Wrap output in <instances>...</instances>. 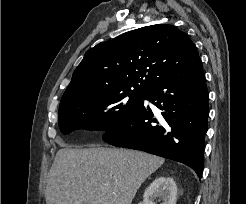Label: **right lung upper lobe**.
<instances>
[{"mask_svg": "<svg viewBox=\"0 0 246 204\" xmlns=\"http://www.w3.org/2000/svg\"><path fill=\"white\" fill-rule=\"evenodd\" d=\"M198 59L193 42L172 25L157 24L127 32L85 53L59 107L99 95L144 93Z\"/></svg>", "mask_w": 246, "mask_h": 204, "instance_id": "right-lung-upper-lobe-1", "label": "right lung upper lobe"}]
</instances>
